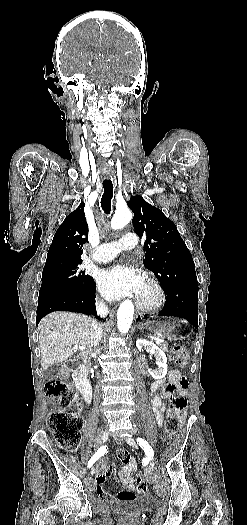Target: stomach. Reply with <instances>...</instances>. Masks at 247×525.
Masks as SVG:
<instances>
[{"mask_svg":"<svg viewBox=\"0 0 247 525\" xmlns=\"http://www.w3.org/2000/svg\"><path fill=\"white\" fill-rule=\"evenodd\" d=\"M139 329L147 335L165 341L182 340L189 334V325L173 317H154L139 324Z\"/></svg>","mask_w":247,"mask_h":525,"instance_id":"1","label":"stomach"}]
</instances>
